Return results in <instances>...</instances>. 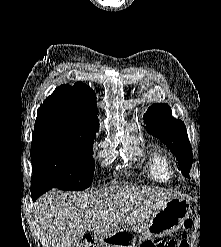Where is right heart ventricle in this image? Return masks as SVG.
I'll return each mask as SVG.
<instances>
[{"mask_svg":"<svg viewBox=\"0 0 221 247\" xmlns=\"http://www.w3.org/2000/svg\"><path fill=\"white\" fill-rule=\"evenodd\" d=\"M146 172L150 178L161 182H167L173 176L169 156L157 146H152L149 150Z\"/></svg>","mask_w":221,"mask_h":247,"instance_id":"1","label":"right heart ventricle"}]
</instances>
